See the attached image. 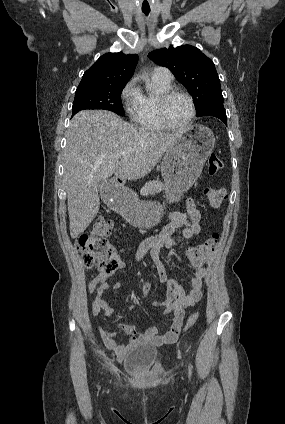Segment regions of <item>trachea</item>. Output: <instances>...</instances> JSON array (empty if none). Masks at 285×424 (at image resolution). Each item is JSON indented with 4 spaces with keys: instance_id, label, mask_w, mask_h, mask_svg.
<instances>
[{
    "instance_id": "3493384b",
    "label": "trachea",
    "mask_w": 285,
    "mask_h": 424,
    "mask_svg": "<svg viewBox=\"0 0 285 424\" xmlns=\"http://www.w3.org/2000/svg\"><path fill=\"white\" fill-rule=\"evenodd\" d=\"M150 11H143L145 15H148Z\"/></svg>"
}]
</instances>
